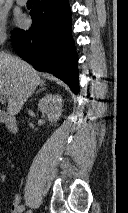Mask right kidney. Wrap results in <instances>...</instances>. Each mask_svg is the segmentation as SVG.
Wrapping results in <instances>:
<instances>
[{"mask_svg": "<svg viewBox=\"0 0 128 213\" xmlns=\"http://www.w3.org/2000/svg\"><path fill=\"white\" fill-rule=\"evenodd\" d=\"M62 102L60 95L50 93L39 100L38 109L47 115L51 123L57 122L63 111Z\"/></svg>", "mask_w": 128, "mask_h": 213, "instance_id": "obj_1", "label": "right kidney"}]
</instances>
